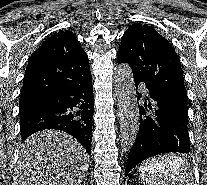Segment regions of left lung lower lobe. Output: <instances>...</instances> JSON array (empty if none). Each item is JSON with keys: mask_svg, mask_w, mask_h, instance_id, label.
Listing matches in <instances>:
<instances>
[{"mask_svg": "<svg viewBox=\"0 0 207 185\" xmlns=\"http://www.w3.org/2000/svg\"><path fill=\"white\" fill-rule=\"evenodd\" d=\"M134 81L136 90L138 84L144 82L141 79ZM145 84L150 95L148 102L139 106V131L128 156L125 174L149 157L169 152H190L188 110ZM136 94L139 100L141 94L138 91Z\"/></svg>", "mask_w": 207, "mask_h": 185, "instance_id": "left-lung-lower-lobe-1", "label": "left lung lower lobe"}]
</instances>
